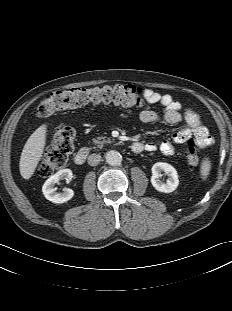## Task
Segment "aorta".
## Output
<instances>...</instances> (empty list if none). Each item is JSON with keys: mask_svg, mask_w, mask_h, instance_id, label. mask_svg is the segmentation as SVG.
Returning <instances> with one entry per match:
<instances>
[{"mask_svg": "<svg viewBox=\"0 0 232 311\" xmlns=\"http://www.w3.org/2000/svg\"><path fill=\"white\" fill-rule=\"evenodd\" d=\"M105 159L109 165L116 166L121 164L122 156L118 151L110 150L106 153Z\"/></svg>", "mask_w": 232, "mask_h": 311, "instance_id": "obj_1", "label": "aorta"}]
</instances>
